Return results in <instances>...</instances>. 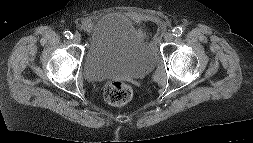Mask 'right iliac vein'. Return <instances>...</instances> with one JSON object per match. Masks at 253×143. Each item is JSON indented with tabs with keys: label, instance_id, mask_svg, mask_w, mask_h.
Listing matches in <instances>:
<instances>
[{
	"label": "right iliac vein",
	"instance_id": "obj_1",
	"mask_svg": "<svg viewBox=\"0 0 253 143\" xmlns=\"http://www.w3.org/2000/svg\"><path fill=\"white\" fill-rule=\"evenodd\" d=\"M72 42L75 43V44H79L81 42V36L79 34H75L72 37Z\"/></svg>",
	"mask_w": 253,
	"mask_h": 143
}]
</instances>
